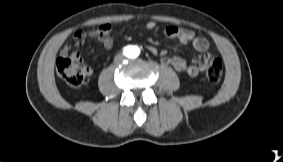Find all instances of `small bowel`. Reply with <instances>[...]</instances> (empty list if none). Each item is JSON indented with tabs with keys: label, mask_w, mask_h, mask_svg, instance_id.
<instances>
[{
	"label": "small bowel",
	"mask_w": 283,
	"mask_h": 162,
	"mask_svg": "<svg viewBox=\"0 0 283 162\" xmlns=\"http://www.w3.org/2000/svg\"><path fill=\"white\" fill-rule=\"evenodd\" d=\"M145 28L150 31L155 30L157 28V23L155 21H148L145 24ZM110 32L111 26L107 23L100 25L97 29L78 31L73 36L72 46H80L85 38H96L101 41L104 48L110 49L113 44ZM163 33L168 38L178 40L181 44H191L197 52L203 53V55L195 58L191 62H188L179 56L168 57L164 51H159L154 46H149L148 50L151 53L160 56V62L162 65L171 67L175 71L184 73L190 77H195L204 69L208 58H210L207 54L209 42L206 38L196 36L194 32L174 25L164 27ZM69 54L70 46L67 45L61 50V56H68ZM71 56L82 59L78 53H72Z\"/></svg>",
	"instance_id": "1"
}]
</instances>
